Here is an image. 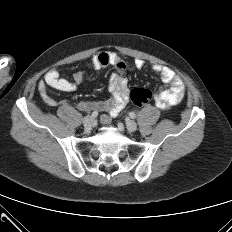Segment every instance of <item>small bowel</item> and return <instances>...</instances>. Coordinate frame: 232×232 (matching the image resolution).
<instances>
[{"label":"small bowel","mask_w":232,"mask_h":232,"mask_svg":"<svg viewBox=\"0 0 232 232\" xmlns=\"http://www.w3.org/2000/svg\"><path fill=\"white\" fill-rule=\"evenodd\" d=\"M113 66L116 71L109 80V89L112 97L104 101H80L75 107L82 112L104 111L101 122L107 124L113 116H116L126 105L129 99V86L126 71L127 63L114 52H98L91 59L93 70H100L106 66ZM134 66L143 69L145 62L142 59H135ZM152 70L157 73L167 88L161 90L155 97L156 106L160 109H168L178 104L185 93V86L182 79L170 68L155 64ZM86 78L85 71H78L73 74L71 80L61 78L56 69L49 70L44 80L38 84L39 93L43 101L51 107L57 106L58 102L48 93V87L62 92H73L76 87Z\"/></svg>","instance_id":"obj_1"}]
</instances>
